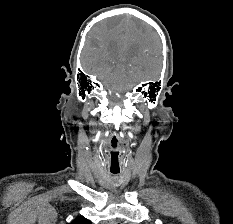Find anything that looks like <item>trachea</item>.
Listing matches in <instances>:
<instances>
[{"instance_id":"3493384b","label":"trachea","mask_w":233,"mask_h":224,"mask_svg":"<svg viewBox=\"0 0 233 224\" xmlns=\"http://www.w3.org/2000/svg\"><path fill=\"white\" fill-rule=\"evenodd\" d=\"M113 174H118V172H112Z\"/></svg>"}]
</instances>
